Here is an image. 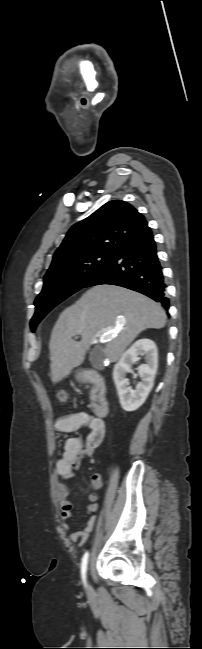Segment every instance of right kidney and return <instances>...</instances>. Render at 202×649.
Wrapping results in <instances>:
<instances>
[{
    "label": "right kidney",
    "instance_id": "obj_1",
    "mask_svg": "<svg viewBox=\"0 0 202 649\" xmlns=\"http://www.w3.org/2000/svg\"><path fill=\"white\" fill-rule=\"evenodd\" d=\"M145 357V363L139 366L142 382L136 390L129 386L126 374L131 371V364ZM158 368V352L155 343L147 338L134 342L121 356L113 370V380L117 388L120 404L125 411L138 409L146 400L154 385Z\"/></svg>",
    "mask_w": 202,
    "mask_h": 649
}]
</instances>
